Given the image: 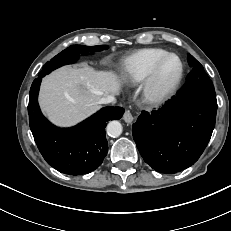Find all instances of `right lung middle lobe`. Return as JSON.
<instances>
[{
    "mask_svg": "<svg viewBox=\"0 0 231 231\" xmlns=\"http://www.w3.org/2000/svg\"><path fill=\"white\" fill-rule=\"evenodd\" d=\"M107 48H108L107 45H100V46L72 45L66 48L65 50H63L62 52H60L58 55L52 58L49 62H47L43 66L38 76L43 77L49 74L51 71L63 65L74 63L79 58V54L102 51Z\"/></svg>",
    "mask_w": 231,
    "mask_h": 231,
    "instance_id": "1",
    "label": "right lung middle lobe"
}]
</instances>
